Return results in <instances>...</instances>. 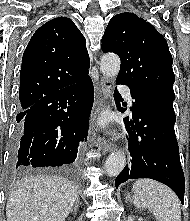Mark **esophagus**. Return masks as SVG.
Masks as SVG:
<instances>
[{
    "label": "esophagus",
    "instance_id": "obj_1",
    "mask_svg": "<svg viewBox=\"0 0 190 221\" xmlns=\"http://www.w3.org/2000/svg\"><path fill=\"white\" fill-rule=\"evenodd\" d=\"M112 94V83L109 79L102 77L100 79V86H99V100H98V108L102 109L107 100L111 97ZM98 142L102 145L104 152L112 151L115 146L113 143L107 141L104 137H99Z\"/></svg>",
    "mask_w": 190,
    "mask_h": 221
}]
</instances>
